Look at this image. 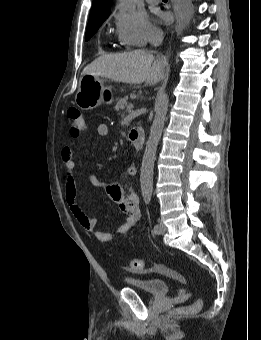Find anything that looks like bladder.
<instances>
[{
  "label": "bladder",
  "mask_w": 261,
  "mask_h": 340,
  "mask_svg": "<svg viewBox=\"0 0 261 340\" xmlns=\"http://www.w3.org/2000/svg\"><path fill=\"white\" fill-rule=\"evenodd\" d=\"M123 281L128 287L153 297H161L167 295L170 288L169 281L161 277H125Z\"/></svg>",
  "instance_id": "obj_1"
}]
</instances>
